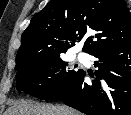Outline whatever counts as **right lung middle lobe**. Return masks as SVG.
I'll list each match as a JSON object with an SVG mask.
<instances>
[{
  "mask_svg": "<svg viewBox=\"0 0 131 115\" xmlns=\"http://www.w3.org/2000/svg\"><path fill=\"white\" fill-rule=\"evenodd\" d=\"M65 52L48 54L16 68L17 89L41 100L58 99L82 72L62 59Z\"/></svg>",
  "mask_w": 131,
  "mask_h": 115,
  "instance_id": "right-lung-middle-lobe-1",
  "label": "right lung middle lobe"
}]
</instances>
